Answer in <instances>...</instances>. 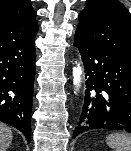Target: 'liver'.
Returning a JSON list of instances; mask_svg holds the SVG:
<instances>
[{
    "instance_id": "6515ba94",
    "label": "liver",
    "mask_w": 131,
    "mask_h": 151,
    "mask_svg": "<svg viewBox=\"0 0 131 151\" xmlns=\"http://www.w3.org/2000/svg\"><path fill=\"white\" fill-rule=\"evenodd\" d=\"M12 131L6 125L0 123V151H6L12 141Z\"/></svg>"
}]
</instances>
